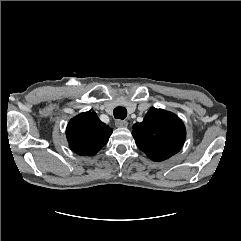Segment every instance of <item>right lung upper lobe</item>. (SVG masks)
Listing matches in <instances>:
<instances>
[{
	"label": "right lung upper lobe",
	"mask_w": 241,
	"mask_h": 241,
	"mask_svg": "<svg viewBox=\"0 0 241 241\" xmlns=\"http://www.w3.org/2000/svg\"><path fill=\"white\" fill-rule=\"evenodd\" d=\"M112 129L100 121L95 112H84L72 118L66 136L72 151L81 156L96 154L108 141Z\"/></svg>",
	"instance_id": "right-lung-upper-lobe-1"
}]
</instances>
